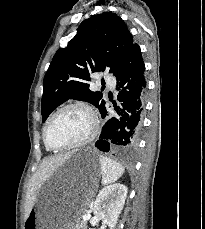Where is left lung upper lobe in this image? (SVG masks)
Returning <instances> with one entry per match:
<instances>
[{
  "label": "left lung upper lobe",
  "mask_w": 205,
  "mask_h": 229,
  "mask_svg": "<svg viewBox=\"0 0 205 229\" xmlns=\"http://www.w3.org/2000/svg\"><path fill=\"white\" fill-rule=\"evenodd\" d=\"M132 44L127 25L116 14L103 12L84 20L68 46L56 52L45 74L42 122L71 98L90 102L99 111L104 109L102 93L89 89V76L103 71L114 74Z\"/></svg>",
  "instance_id": "1"
}]
</instances>
